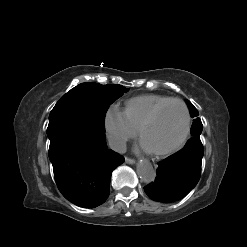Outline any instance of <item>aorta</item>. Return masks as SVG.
<instances>
[{"mask_svg": "<svg viewBox=\"0 0 247 247\" xmlns=\"http://www.w3.org/2000/svg\"><path fill=\"white\" fill-rule=\"evenodd\" d=\"M137 174L139 178L145 183L154 182L156 178V172L152 164L148 161H142L138 163Z\"/></svg>", "mask_w": 247, "mask_h": 247, "instance_id": "1", "label": "aorta"}]
</instances>
